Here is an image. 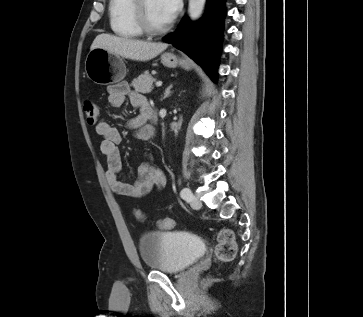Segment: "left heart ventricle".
Listing matches in <instances>:
<instances>
[{
	"mask_svg": "<svg viewBox=\"0 0 363 317\" xmlns=\"http://www.w3.org/2000/svg\"><path fill=\"white\" fill-rule=\"evenodd\" d=\"M145 11L147 19L153 27H163L168 24L159 0H146Z\"/></svg>",
	"mask_w": 363,
	"mask_h": 317,
	"instance_id": "1",
	"label": "left heart ventricle"
}]
</instances>
